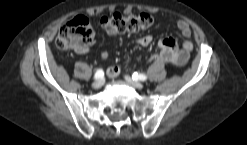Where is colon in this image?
<instances>
[{"label":"colon","instance_id":"colon-1","mask_svg":"<svg viewBox=\"0 0 247 145\" xmlns=\"http://www.w3.org/2000/svg\"><path fill=\"white\" fill-rule=\"evenodd\" d=\"M102 26L112 32H136L146 30L153 24V18L147 13L123 15L114 13L104 17ZM94 39V31L88 19L78 15L65 23L59 30L56 45L61 50H80L87 47Z\"/></svg>","mask_w":247,"mask_h":145}]
</instances>
